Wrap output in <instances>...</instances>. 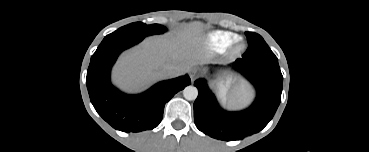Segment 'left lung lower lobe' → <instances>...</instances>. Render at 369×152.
<instances>
[{"instance_id": "0a47b994", "label": "left lung lower lobe", "mask_w": 369, "mask_h": 152, "mask_svg": "<svg viewBox=\"0 0 369 152\" xmlns=\"http://www.w3.org/2000/svg\"><path fill=\"white\" fill-rule=\"evenodd\" d=\"M233 68L241 72L256 87L254 103L240 112L221 109L205 80L194 85L199 94L194 102L196 127L212 138L235 141L261 131L273 118L281 101L283 76L278 60H253L240 58Z\"/></svg>"}]
</instances>
